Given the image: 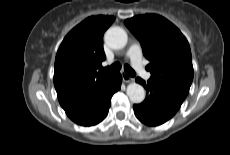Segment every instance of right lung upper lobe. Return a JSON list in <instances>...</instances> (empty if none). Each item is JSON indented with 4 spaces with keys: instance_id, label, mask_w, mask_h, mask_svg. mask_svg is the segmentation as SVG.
Here are the masks:
<instances>
[{
    "instance_id": "obj_1",
    "label": "right lung upper lobe",
    "mask_w": 230,
    "mask_h": 155,
    "mask_svg": "<svg viewBox=\"0 0 230 155\" xmlns=\"http://www.w3.org/2000/svg\"><path fill=\"white\" fill-rule=\"evenodd\" d=\"M114 20L113 16H91L62 41L55 59L54 86L63 109L90 99L115 76L98 71L106 59L103 35Z\"/></svg>"
}]
</instances>
